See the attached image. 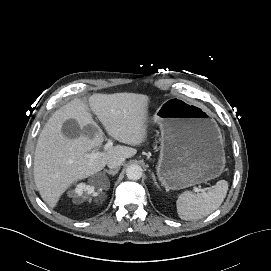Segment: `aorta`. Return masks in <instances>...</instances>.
<instances>
[{"mask_svg":"<svg viewBox=\"0 0 271 271\" xmlns=\"http://www.w3.org/2000/svg\"><path fill=\"white\" fill-rule=\"evenodd\" d=\"M142 174H143V170L141 166L137 164H132L128 166L126 169V175L128 179L130 180H138L142 177Z\"/></svg>","mask_w":271,"mask_h":271,"instance_id":"762f6f07","label":"aorta"}]
</instances>
